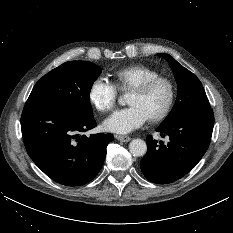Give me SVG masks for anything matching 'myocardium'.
I'll use <instances>...</instances> for the list:
<instances>
[{"mask_svg": "<svg viewBox=\"0 0 233 233\" xmlns=\"http://www.w3.org/2000/svg\"><path fill=\"white\" fill-rule=\"evenodd\" d=\"M160 83H164L167 85L168 90H169V96H168V100L166 102V105L164 106L162 111L160 113H158L157 115L149 118V121L152 123L161 122L164 119H166L168 117V115L170 114V112L173 108L174 102H175V98H176V88H175L174 82L169 77L158 76V77L149 79V80L137 85L136 87H134L131 90V92H135L138 94H146L150 90H152L156 85H158Z\"/></svg>", "mask_w": 233, "mask_h": 233, "instance_id": "obj_1", "label": "myocardium"}]
</instances>
